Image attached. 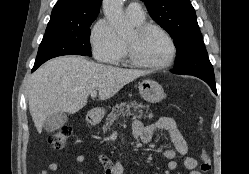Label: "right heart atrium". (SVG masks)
<instances>
[{
    "mask_svg": "<svg viewBox=\"0 0 249 174\" xmlns=\"http://www.w3.org/2000/svg\"><path fill=\"white\" fill-rule=\"evenodd\" d=\"M90 45L94 57L103 63H116L124 54L123 43L106 18L92 27Z\"/></svg>",
    "mask_w": 249,
    "mask_h": 174,
    "instance_id": "obj_1",
    "label": "right heart atrium"
}]
</instances>
